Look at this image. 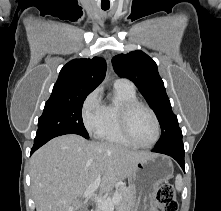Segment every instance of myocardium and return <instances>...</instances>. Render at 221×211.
<instances>
[{"mask_svg":"<svg viewBox=\"0 0 221 211\" xmlns=\"http://www.w3.org/2000/svg\"><path fill=\"white\" fill-rule=\"evenodd\" d=\"M138 108L146 109L150 113V115L152 116L154 124H155V132H156L155 137L148 144H142V143L137 142L134 139L132 132H131V127H130L131 115ZM119 121H120V128H121V132H122L123 136L133 146L140 147V148H149V147H152L153 145H155L157 143V141L159 140L160 123H159L158 117H157L156 113L154 112V110L149 105H147L139 100L128 101V102L123 103L120 106Z\"/></svg>","mask_w":221,"mask_h":211,"instance_id":"1","label":"myocardium"}]
</instances>
